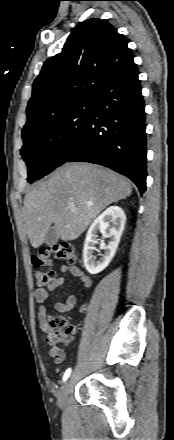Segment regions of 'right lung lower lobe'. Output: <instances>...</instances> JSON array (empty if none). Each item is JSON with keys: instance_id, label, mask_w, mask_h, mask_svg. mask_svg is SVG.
Instances as JSON below:
<instances>
[{"instance_id": "obj_1", "label": "right lung lower lobe", "mask_w": 174, "mask_h": 440, "mask_svg": "<svg viewBox=\"0 0 174 440\" xmlns=\"http://www.w3.org/2000/svg\"><path fill=\"white\" fill-rule=\"evenodd\" d=\"M138 74L132 62L94 91L87 128L65 162L108 167L131 179L142 194L146 190L147 138Z\"/></svg>"}]
</instances>
